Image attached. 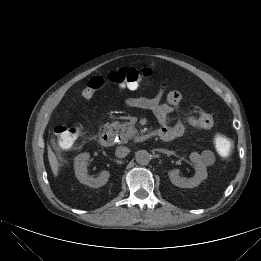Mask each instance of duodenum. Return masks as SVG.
<instances>
[{
	"label": "duodenum",
	"mask_w": 261,
	"mask_h": 261,
	"mask_svg": "<svg viewBox=\"0 0 261 261\" xmlns=\"http://www.w3.org/2000/svg\"><path fill=\"white\" fill-rule=\"evenodd\" d=\"M157 134V131L150 132L149 134L142 135L138 139L139 141L145 140L146 138L150 136H155ZM99 141L103 146H112L114 144V136L111 131L104 130L99 134Z\"/></svg>",
	"instance_id": "410a0bca"
}]
</instances>
